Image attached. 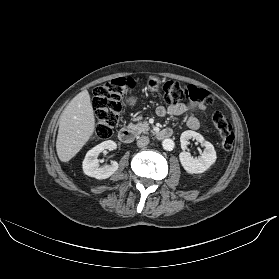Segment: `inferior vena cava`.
I'll return each instance as SVG.
<instances>
[{"mask_svg": "<svg viewBox=\"0 0 279 279\" xmlns=\"http://www.w3.org/2000/svg\"><path fill=\"white\" fill-rule=\"evenodd\" d=\"M148 144H149V138L147 136H141L137 140L138 147H145Z\"/></svg>", "mask_w": 279, "mask_h": 279, "instance_id": "obj_1", "label": "inferior vena cava"}]
</instances>
